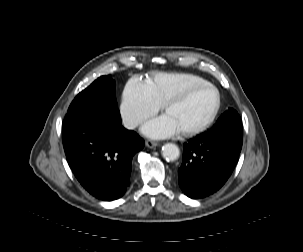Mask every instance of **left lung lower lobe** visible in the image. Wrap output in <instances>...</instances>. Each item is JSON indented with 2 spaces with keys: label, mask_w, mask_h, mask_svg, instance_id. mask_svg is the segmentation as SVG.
Returning <instances> with one entry per match:
<instances>
[{
  "label": "left lung lower lobe",
  "mask_w": 303,
  "mask_h": 252,
  "mask_svg": "<svg viewBox=\"0 0 303 252\" xmlns=\"http://www.w3.org/2000/svg\"><path fill=\"white\" fill-rule=\"evenodd\" d=\"M242 136L199 135L183 145L178 170L182 191L198 199L216 192L231 175L241 151Z\"/></svg>",
  "instance_id": "1"
}]
</instances>
